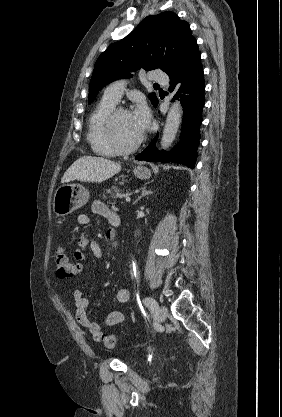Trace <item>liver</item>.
Returning a JSON list of instances; mask_svg holds the SVG:
<instances>
[{"label": "liver", "mask_w": 282, "mask_h": 417, "mask_svg": "<svg viewBox=\"0 0 282 417\" xmlns=\"http://www.w3.org/2000/svg\"><path fill=\"white\" fill-rule=\"evenodd\" d=\"M121 170L120 162H114L103 156H80L77 158L66 172H64L61 182L70 180H83V182H103L111 178Z\"/></svg>", "instance_id": "1"}]
</instances>
